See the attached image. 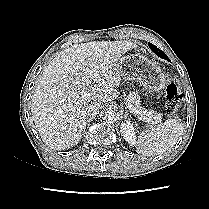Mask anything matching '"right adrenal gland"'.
<instances>
[{"label":"right adrenal gland","mask_w":209,"mask_h":209,"mask_svg":"<svg viewBox=\"0 0 209 209\" xmlns=\"http://www.w3.org/2000/svg\"><path fill=\"white\" fill-rule=\"evenodd\" d=\"M93 119H94V117H90V118L88 119V123H90ZM88 125H89V124H88Z\"/></svg>","instance_id":"2a0ac1e0"}]
</instances>
